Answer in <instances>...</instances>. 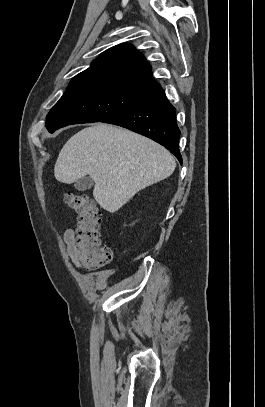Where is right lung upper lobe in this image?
Returning a JSON list of instances; mask_svg holds the SVG:
<instances>
[{
	"label": "right lung upper lobe",
	"mask_w": 265,
	"mask_h": 407,
	"mask_svg": "<svg viewBox=\"0 0 265 407\" xmlns=\"http://www.w3.org/2000/svg\"><path fill=\"white\" fill-rule=\"evenodd\" d=\"M86 75L124 79L156 88L160 86L152 78L151 66L144 56L130 44H119L106 50L77 76Z\"/></svg>",
	"instance_id": "1"
}]
</instances>
